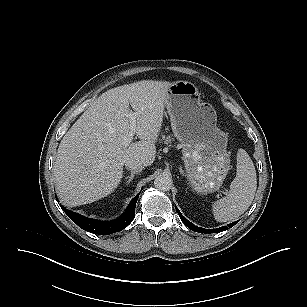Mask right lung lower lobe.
<instances>
[{
	"instance_id": "1",
	"label": "right lung lower lobe",
	"mask_w": 307,
	"mask_h": 307,
	"mask_svg": "<svg viewBox=\"0 0 307 307\" xmlns=\"http://www.w3.org/2000/svg\"><path fill=\"white\" fill-rule=\"evenodd\" d=\"M138 197H139V194L135 198L132 199L126 211L120 218L115 219L110 222L97 221L94 219H90L78 213L71 212L64 207H62V209L68 215V217L83 230L94 233V234L108 235V234L123 230L132 222V220L135 217V207H136Z\"/></svg>"
}]
</instances>
